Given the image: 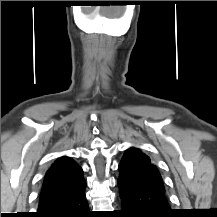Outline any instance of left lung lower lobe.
<instances>
[{
	"mask_svg": "<svg viewBox=\"0 0 217 217\" xmlns=\"http://www.w3.org/2000/svg\"><path fill=\"white\" fill-rule=\"evenodd\" d=\"M117 185L125 208L121 214L125 217H171L166 191L136 184L125 174H120Z\"/></svg>",
	"mask_w": 217,
	"mask_h": 217,
	"instance_id": "left-lung-lower-lobe-1",
	"label": "left lung lower lobe"
}]
</instances>
